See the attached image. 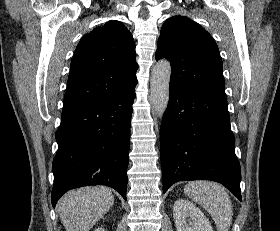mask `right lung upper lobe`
Here are the masks:
<instances>
[{
    "instance_id": "cb5924a9",
    "label": "right lung upper lobe",
    "mask_w": 280,
    "mask_h": 231,
    "mask_svg": "<svg viewBox=\"0 0 280 231\" xmlns=\"http://www.w3.org/2000/svg\"><path fill=\"white\" fill-rule=\"evenodd\" d=\"M137 69L135 43L123 23L95 28L75 50L62 111L133 91Z\"/></svg>"
}]
</instances>
